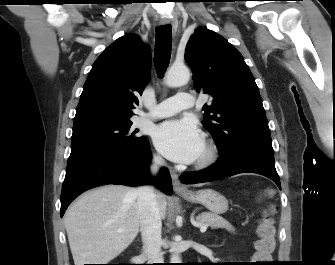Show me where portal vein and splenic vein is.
I'll use <instances>...</instances> for the list:
<instances>
[{"label":"portal vein and splenic vein","instance_id":"18ae733b","mask_svg":"<svg viewBox=\"0 0 335 265\" xmlns=\"http://www.w3.org/2000/svg\"><path fill=\"white\" fill-rule=\"evenodd\" d=\"M207 225L206 224H202V225H200V231L201 232H205L206 230H207Z\"/></svg>","mask_w":335,"mask_h":265}]
</instances>
